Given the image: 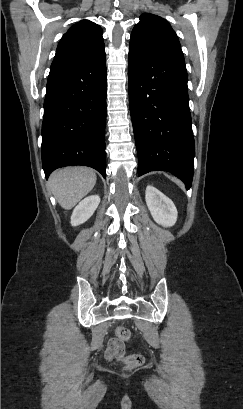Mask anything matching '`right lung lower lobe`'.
<instances>
[{
  "label": "right lung lower lobe",
  "instance_id": "obj_1",
  "mask_svg": "<svg viewBox=\"0 0 243 409\" xmlns=\"http://www.w3.org/2000/svg\"><path fill=\"white\" fill-rule=\"evenodd\" d=\"M105 48L90 58L50 70L42 123L46 178L60 167L84 165L106 178Z\"/></svg>",
  "mask_w": 243,
  "mask_h": 409
}]
</instances>
